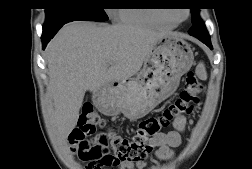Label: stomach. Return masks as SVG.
I'll list each match as a JSON object with an SVG mask.
<instances>
[{
  "label": "stomach",
  "mask_w": 252,
  "mask_h": 169,
  "mask_svg": "<svg viewBox=\"0 0 252 169\" xmlns=\"http://www.w3.org/2000/svg\"><path fill=\"white\" fill-rule=\"evenodd\" d=\"M193 61L191 45L178 35H167L147 55L136 77L102 87L94 93L93 101L106 115L122 113L137 120L174 93Z\"/></svg>",
  "instance_id": "1"
}]
</instances>
